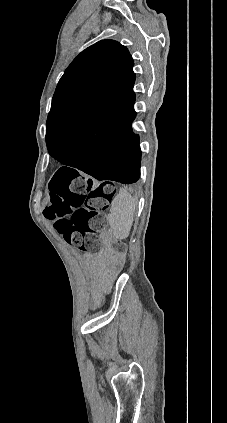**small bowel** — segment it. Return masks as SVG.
<instances>
[{
    "label": "small bowel",
    "mask_w": 227,
    "mask_h": 423,
    "mask_svg": "<svg viewBox=\"0 0 227 423\" xmlns=\"http://www.w3.org/2000/svg\"><path fill=\"white\" fill-rule=\"evenodd\" d=\"M90 258V257H89ZM104 260L108 261L107 263H104V269L102 273L99 274V278L97 280L96 286L94 288L93 292V303L94 305H98L101 302V288L105 286L106 284L110 283L113 276L117 272L119 268V263L117 261V258L110 254H104L103 255Z\"/></svg>",
    "instance_id": "1"
}]
</instances>
